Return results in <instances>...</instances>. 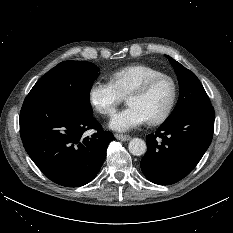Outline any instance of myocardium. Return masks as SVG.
Masks as SVG:
<instances>
[{
	"label": "myocardium",
	"mask_w": 233,
	"mask_h": 233,
	"mask_svg": "<svg viewBox=\"0 0 233 233\" xmlns=\"http://www.w3.org/2000/svg\"><path fill=\"white\" fill-rule=\"evenodd\" d=\"M162 80H167L171 84V87H172L171 98H170V101H169L167 107L159 116L147 121L150 125H159V124L165 122L169 118V116L171 115V113L175 107L177 97H178V86H177L175 79L168 74L162 73L159 75H155V76H152V77L144 80L143 82H141L139 85L134 87L127 95V99H128V97H130L132 95L144 94V93L148 92L156 83H158L159 81H162Z\"/></svg>",
	"instance_id": "obj_1"
}]
</instances>
